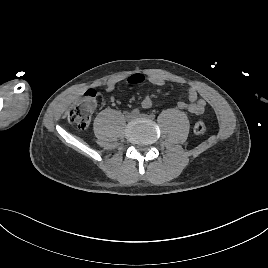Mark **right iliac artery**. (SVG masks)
Instances as JSON below:
<instances>
[{"label": "right iliac artery", "mask_w": 268, "mask_h": 268, "mask_svg": "<svg viewBox=\"0 0 268 268\" xmlns=\"http://www.w3.org/2000/svg\"><path fill=\"white\" fill-rule=\"evenodd\" d=\"M132 113L134 114V115H138L139 113H140V111H139V109H133L132 110Z\"/></svg>", "instance_id": "82829eb1"}]
</instances>
